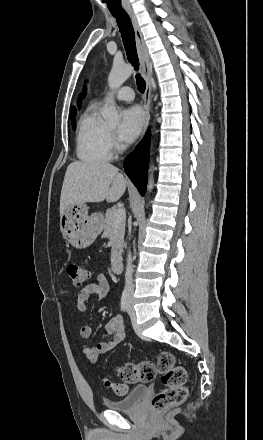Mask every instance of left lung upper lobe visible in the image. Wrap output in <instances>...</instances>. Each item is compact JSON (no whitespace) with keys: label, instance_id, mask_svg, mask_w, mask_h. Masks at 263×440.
Here are the masks:
<instances>
[{"label":"left lung upper lobe","instance_id":"left-lung-upper-lobe-1","mask_svg":"<svg viewBox=\"0 0 263 440\" xmlns=\"http://www.w3.org/2000/svg\"><path fill=\"white\" fill-rule=\"evenodd\" d=\"M78 105L79 106L81 105V99L80 98L78 99Z\"/></svg>","mask_w":263,"mask_h":440}]
</instances>
